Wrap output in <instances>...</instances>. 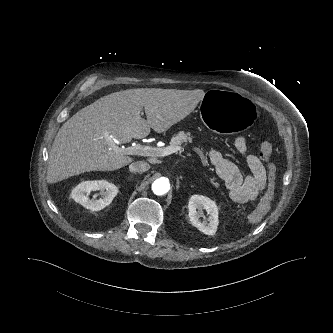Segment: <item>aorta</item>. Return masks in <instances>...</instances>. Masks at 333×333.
Wrapping results in <instances>:
<instances>
[{"label":"aorta","instance_id":"aorta-1","mask_svg":"<svg viewBox=\"0 0 333 333\" xmlns=\"http://www.w3.org/2000/svg\"><path fill=\"white\" fill-rule=\"evenodd\" d=\"M169 189L170 183L169 180L165 177L158 178L152 183V191L158 196L166 194Z\"/></svg>","mask_w":333,"mask_h":333}]
</instances>
